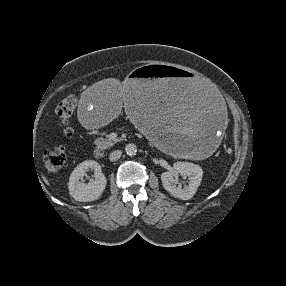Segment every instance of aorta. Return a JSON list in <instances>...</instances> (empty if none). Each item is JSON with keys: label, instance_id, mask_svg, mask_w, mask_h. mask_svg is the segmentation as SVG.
I'll return each mask as SVG.
<instances>
[{"label": "aorta", "instance_id": "762f6f07", "mask_svg": "<svg viewBox=\"0 0 286 286\" xmlns=\"http://www.w3.org/2000/svg\"><path fill=\"white\" fill-rule=\"evenodd\" d=\"M125 151L128 155L132 156V155H135L136 152H137V147L135 144L133 143H129L126 145L125 147Z\"/></svg>", "mask_w": 286, "mask_h": 286}]
</instances>
